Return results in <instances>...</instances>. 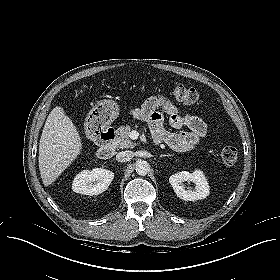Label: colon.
I'll use <instances>...</instances> for the list:
<instances>
[{
	"label": "colon",
	"mask_w": 280,
	"mask_h": 280,
	"mask_svg": "<svg viewBox=\"0 0 280 280\" xmlns=\"http://www.w3.org/2000/svg\"><path fill=\"white\" fill-rule=\"evenodd\" d=\"M169 93L186 105H194L199 101V92L191 86L175 85L169 88ZM237 156L238 152L232 146H226L221 151V160L228 166L236 162Z\"/></svg>",
	"instance_id": "1"
}]
</instances>
